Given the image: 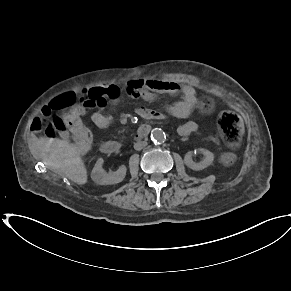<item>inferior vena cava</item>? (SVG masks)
Returning a JSON list of instances; mask_svg holds the SVG:
<instances>
[{
	"label": "inferior vena cava",
	"mask_w": 291,
	"mask_h": 291,
	"mask_svg": "<svg viewBox=\"0 0 291 291\" xmlns=\"http://www.w3.org/2000/svg\"><path fill=\"white\" fill-rule=\"evenodd\" d=\"M147 145L146 141H138L134 144V149L135 150H141Z\"/></svg>",
	"instance_id": "602c4592"
}]
</instances>
